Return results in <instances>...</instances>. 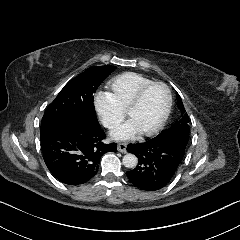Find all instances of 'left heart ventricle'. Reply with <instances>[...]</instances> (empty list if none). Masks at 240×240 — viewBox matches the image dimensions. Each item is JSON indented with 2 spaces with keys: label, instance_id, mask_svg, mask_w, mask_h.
<instances>
[{
  "label": "left heart ventricle",
  "instance_id": "obj_1",
  "mask_svg": "<svg viewBox=\"0 0 240 240\" xmlns=\"http://www.w3.org/2000/svg\"><path fill=\"white\" fill-rule=\"evenodd\" d=\"M165 106V91L153 86L146 91L141 104L129 115L140 131L152 129L160 120Z\"/></svg>",
  "mask_w": 240,
  "mask_h": 240
}]
</instances>
